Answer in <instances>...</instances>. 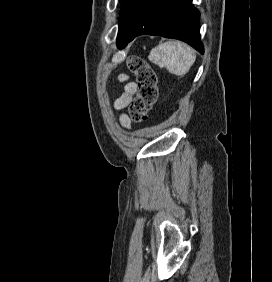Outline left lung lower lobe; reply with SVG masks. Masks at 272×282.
<instances>
[{
  "instance_id": "obj_1",
  "label": "left lung lower lobe",
  "mask_w": 272,
  "mask_h": 282,
  "mask_svg": "<svg viewBox=\"0 0 272 282\" xmlns=\"http://www.w3.org/2000/svg\"><path fill=\"white\" fill-rule=\"evenodd\" d=\"M192 0H125L119 17L117 46L122 49L138 35H159L182 40L200 53V13Z\"/></svg>"
}]
</instances>
